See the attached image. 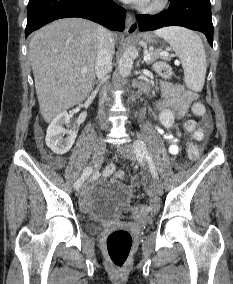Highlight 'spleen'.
I'll return each mask as SVG.
<instances>
[{
    "label": "spleen",
    "instance_id": "3e777b00",
    "mask_svg": "<svg viewBox=\"0 0 233 284\" xmlns=\"http://www.w3.org/2000/svg\"><path fill=\"white\" fill-rule=\"evenodd\" d=\"M162 37L179 57L186 86L195 92L203 89L207 70L206 54L201 38L193 31L171 26L155 32Z\"/></svg>",
    "mask_w": 233,
    "mask_h": 284
}]
</instances>
